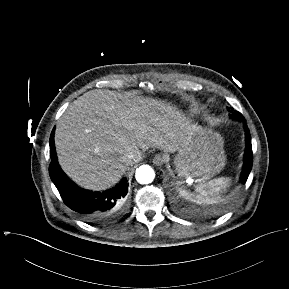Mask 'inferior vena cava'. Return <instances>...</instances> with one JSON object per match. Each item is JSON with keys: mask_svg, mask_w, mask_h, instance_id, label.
<instances>
[{"mask_svg": "<svg viewBox=\"0 0 289 289\" xmlns=\"http://www.w3.org/2000/svg\"><path fill=\"white\" fill-rule=\"evenodd\" d=\"M142 159V152L140 150L131 151L125 156V160L129 163L139 162Z\"/></svg>", "mask_w": 289, "mask_h": 289, "instance_id": "1", "label": "inferior vena cava"}]
</instances>
